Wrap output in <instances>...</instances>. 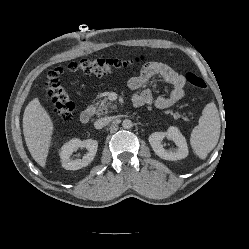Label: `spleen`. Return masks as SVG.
Returning a JSON list of instances; mask_svg holds the SVG:
<instances>
[{
	"label": "spleen",
	"instance_id": "3e777b00",
	"mask_svg": "<svg viewBox=\"0 0 249 249\" xmlns=\"http://www.w3.org/2000/svg\"><path fill=\"white\" fill-rule=\"evenodd\" d=\"M220 127L217 107L211 102L204 107L198 125L193 129L190 138L191 146L200 159H205L217 145Z\"/></svg>",
	"mask_w": 249,
	"mask_h": 249
}]
</instances>
